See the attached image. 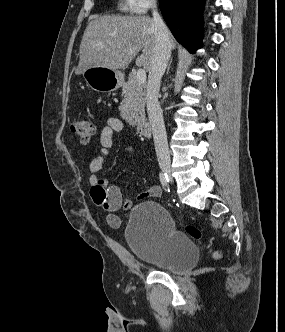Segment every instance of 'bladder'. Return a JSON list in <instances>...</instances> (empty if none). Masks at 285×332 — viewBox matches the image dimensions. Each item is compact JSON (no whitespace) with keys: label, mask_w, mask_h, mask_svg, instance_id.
<instances>
[{"label":"bladder","mask_w":285,"mask_h":332,"mask_svg":"<svg viewBox=\"0 0 285 332\" xmlns=\"http://www.w3.org/2000/svg\"><path fill=\"white\" fill-rule=\"evenodd\" d=\"M125 240L136 259L172 273L190 269L199 258L195 243L175 229L171 214L156 202H141L132 208Z\"/></svg>","instance_id":"1"}]
</instances>
